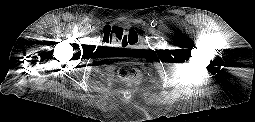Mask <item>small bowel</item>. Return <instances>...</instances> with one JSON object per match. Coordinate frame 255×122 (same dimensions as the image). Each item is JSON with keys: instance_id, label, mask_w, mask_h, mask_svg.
Here are the masks:
<instances>
[{"instance_id": "obj_1", "label": "small bowel", "mask_w": 255, "mask_h": 122, "mask_svg": "<svg viewBox=\"0 0 255 122\" xmlns=\"http://www.w3.org/2000/svg\"><path fill=\"white\" fill-rule=\"evenodd\" d=\"M107 27H109V26H106L105 29ZM105 29H104V47L105 48H109V47L116 45L117 43H120V41L118 39H116L115 37L106 34ZM130 42H134V41H130Z\"/></svg>"}]
</instances>
